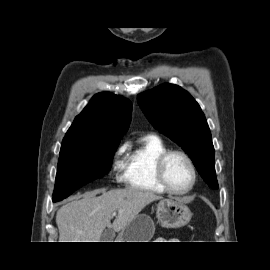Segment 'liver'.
Wrapping results in <instances>:
<instances>
[{
	"label": "liver",
	"mask_w": 270,
	"mask_h": 270,
	"mask_svg": "<svg viewBox=\"0 0 270 270\" xmlns=\"http://www.w3.org/2000/svg\"><path fill=\"white\" fill-rule=\"evenodd\" d=\"M98 193L102 195L96 197ZM161 198L135 188L85 193L58 210L59 242H99L106 227L121 231L144 207ZM113 212L118 214L111 224Z\"/></svg>",
	"instance_id": "1"
}]
</instances>
